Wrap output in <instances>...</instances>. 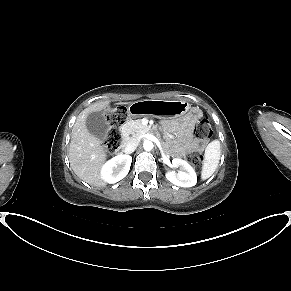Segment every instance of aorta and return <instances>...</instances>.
Segmentation results:
<instances>
[{"instance_id": "1", "label": "aorta", "mask_w": 291, "mask_h": 291, "mask_svg": "<svg viewBox=\"0 0 291 291\" xmlns=\"http://www.w3.org/2000/svg\"><path fill=\"white\" fill-rule=\"evenodd\" d=\"M143 148L145 151H151L153 149V143L150 140H145L143 143Z\"/></svg>"}]
</instances>
